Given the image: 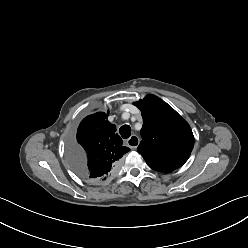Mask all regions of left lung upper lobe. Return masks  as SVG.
I'll use <instances>...</instances> for the list:
<instances>
[{
  "instance_id": "left-lung-upper-lobe-1",
  "label": "left lung upper lobe",
  "mask_w": 248,
  "mask_h": 248,
  "mask_svg": "<svg viewBox=\"0 0 248 248\" xmlns=\"http://www.w3.org/2000/svg\"><path fill=\"white\" fill-rule=\"evenodd\" d=\"M143 117L137 151L153 170L170 173L189 158L194 136L188 123L159 97L149 94L135 102Z\"/></svg>"
}]
</instances>
